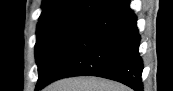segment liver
<instances>
[{
    "label": "liver",
    "instance_id": "obj_1",
    "mask_svg": "<svg viewBox=\"0 0 173 91\" xmlns=\"http://www.w3.org/2000/svg\"><path fill=\"white\" fill-rule=\"evenodd\" d=\"M43 91H131L123 84L100 77H73L55 81Z\"/></svg>",
    "mask_w": 173,
    "mask_h": 91
}]
</instances>
